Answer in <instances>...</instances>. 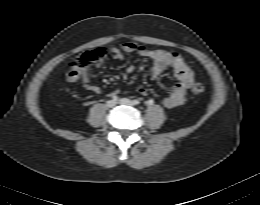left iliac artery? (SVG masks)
<instances>
[{"label": "left iliac artery", "mask_w": 260, "mask_h": 205, "mask_svg": "<svg viewBox=\"0 0 260 205\" xmlns=\"http://www.w3.org/2000/svg\"><path fill=\"white\" fill-rule=\"evenodd\" d=\"M139 103H140L139 100H137V99L133 100L134 105H138Z\"/></svg>", "instance_id": "1"}]
</instances>
